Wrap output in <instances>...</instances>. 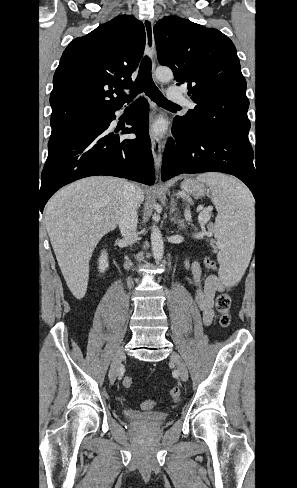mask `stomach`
Wrapping results in <instances>:
<instances>
[{
    "instance_id": "1",
    "label": "stomach",
    "mask_w": 297,
    "mask_h": 488,
    "mask_svg": "<svg viewBox=\"0 0 297 488\" xmlns=\"http://www.w3.org/2000/svg\"><path fill=\"white\" fill-rule=\"evenodd\" d=\"M181 190L188 196V197H195L199 198L206 194V187L205 185L192 178H186L181 183Z\"/></svg>"
}]
</instances>
